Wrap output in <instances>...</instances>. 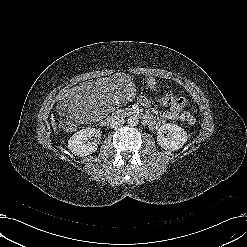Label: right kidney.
Here are the masks:
<instances>
[{
    "instance_id": "ca27d5eb",
    "label": "right kidney",
    "mask_w": 247,
    "mask_h": 247,
    "mask_svg": "<svg viewBox=\"0 0 247 247\" xmlns=\"http://www.w3.org/2000/svg\"><path fill=\"white\" fill-rule=\"evenodd\" d=\"M100 137V131L95 128L81 129L70 137L68 149L76 156L83 157L92 154L98 148L97 143L87 141L88 138Z\"/></svg>"
}]
</instances>
